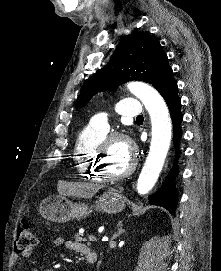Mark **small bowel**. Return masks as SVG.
I'll list each match as a JSON object with an SVG mask.
<instances>
[{"mask_svg":"<svg viewBox=\"0 0 221 271\" xmlns=\"http://www.w3.org/2000/svg\"><path fill=\"white\" fill-rule=\"evenodd\" d=\"M54 244L59 247L64 246L67 250L80 255H84L86 256V258L87 257L90 258L93 256L97 257V253L95 251L90 250V248L87 245H85L79 240H66L63 237H57L54 240ZM33 252L34 250L32 247L27 248L20 253L15 252L11 255V263L16 264L20 256L25 258L32 256Z\"/></svg>","mask_w":221,"mask_h":271,"instance_id":"1","label":"small bowel"}]
</instances>
